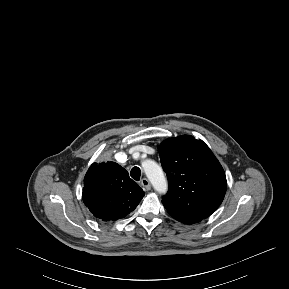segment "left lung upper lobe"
Returning a JSON list of instances; mask_svg holds the SVG:
<instances>
[{
  "label": "left lung upper lobe",
  "instance_id": "5c2ea615",
  "mask_svg": "<svg viewBox=\"0 0 289 289\" xmlns=\"http://www.w3.org/2000/svg\"><path fill=\"white\" fill-rule=\"evenodd\" d=\"M159 155L169 182L164 207L201 218L210 216L223 201L227 182L209 147L202 140L182 135L162 142Z\"/></svg>",
  "mask_w": 289,
  "mask_h": 289
}]
</instances>
